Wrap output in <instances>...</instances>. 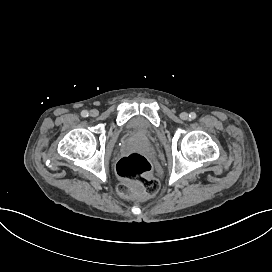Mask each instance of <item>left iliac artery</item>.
<instances>
[{
  "label": "left iliac artery",
  "mask_w": 272,
  "mask_h": 272,
  "mask_svg": "<svg viewBox=\"0 0 272 272\" xmlns=\"http://www.w3.org/2000/svg\"><path fill=\"white\" fill-rule=\"evenodd\" d=\"M189 117H190L191 120L195 119V118H196V113L191 112V113L189 114Z\"/></svg>",
  "instance_id": "1"
}]
</instances>
